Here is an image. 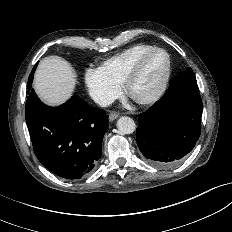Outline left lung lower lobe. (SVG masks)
Listing matches in <instances>:
<instances>
[{
    "label": "left lung lower lobe",
    "instance_id": "left-lung-lower-lobe-1",
    "mask_svg": "<svg viewBox=\"0 0 232 232\" xmlns=\"http://www.w3.org/2000/svg\"><path fill=\"white\" fill-rule=\"evenodd\" d=\"M199 89H183L173 79L162 99L139 115L137 145L147 161L160 168L182 162L201 133Z\"/></svg>",
    "mask_w": 232,
    "mask_h": 232
}]
</instances>
